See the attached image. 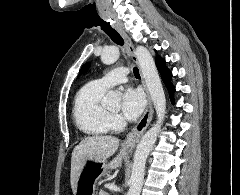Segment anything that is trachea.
Segmentation results:
<instances>
[{
	"mask_svg": "<svg viewBox=\"0 0 240 195\" xmlns=\"http://www.w3.org/2000/svg\"><path fill=\"white\" fill-rule=\"evenodd\" d=\"M101 29L105 33H107V35L111 38V40H113V42H115L117 45H120V46L123 45L124 42L122 37L114 28L111 27V25L102 26ZM133 72L136 78H140L139 70L137 67H133Z\"/></svg>",
	"mask_w": 240,
	"mask_h": 195,
	"instance_id": "1",
	"label": "trachea"
}]
</instances>
